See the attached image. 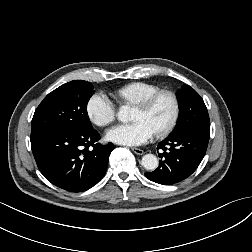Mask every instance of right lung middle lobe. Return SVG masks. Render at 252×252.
Segmentation results:
<instances>
[{"instance_id":"obj_1","label":"right lung middle lobe","mask_w":252,"mask_h":252,"mask_svg":"<svg viewBox=\"0 0 252 252\" xmlns=\"http://www.w3.org/2000/svg\"><path fill=\"white\" fill-rule=\"evenodd\" d=\"M93 94V85L87 81L74 80L58 87L36 109L31 133L93 129L87 114V103Z\"/></svg>"}]
</instances>
